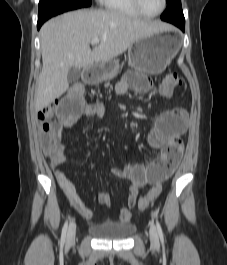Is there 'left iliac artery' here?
<instances>
[{"label":"left iliac artery","mask_w":227,"mask_h":265,"mask_svg":"<svg viewBox=\"0 0 227 265\" xmlns=\"http://www.w3.org/2000/svg\"><path fill=\"white\" fill-rule=\"evenodd\" d=\"M155 218H156V227H157V231H158V235L160 237V240L163 241V232L160 226V223L157 220V216L154 214Z\"/></svg>","instance_id":"left-iliac-artery-1"}]
</instances>
